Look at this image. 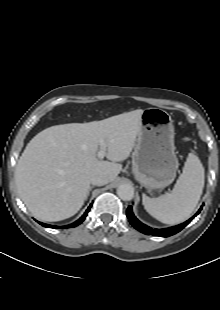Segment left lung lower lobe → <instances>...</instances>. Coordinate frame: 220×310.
Returning <instances> with one entry per match:
<instances>
[{"label":"left lung lower lobe","mask_w":220,"mask_h":310,"mask_svg":"<svg viewBox=\"0 0 220 310\" xmlns=\"http://www.w3.org/2000/svg\"><path fill=\"white\" fill-rule=\"evenodd\" d=\"M202 207L198 210V212L191 217L189 220H187L186 222L179 224L177 226H173L170 228H164V229H153L143 223H141L133 214L132 211V207L129 206L127 209V217L129 219V222L132 224V226L137 229L138 231L146 234V235H153V236H161V237H169L172 236L176 233H178L179 231H181L186 225H188L193 219L194 217H196L200 211H201Z\"/></svg>","instance_id":"1"}]
</instances>
